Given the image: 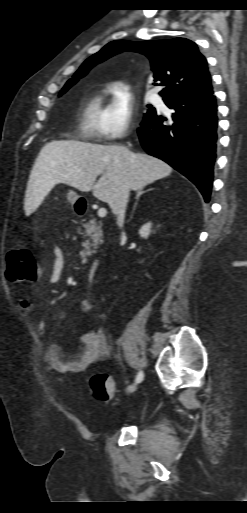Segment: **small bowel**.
I'll return each instance as SVG.
<instances>
[{
    "label": "small bowel",
    "mask_w": 247,
    "mask_h": 513,
    "mask_svg": "<svg viewBox=\"0 0 247 513\" xmlns=\"http://www.w3.org/2000/svg\"><path fill=\"white\" fill-rule=\"evenodd\" d=\"M64 267V253L58 246L53 249V260L48 277V284L55 285L62 281ZM25 311L30 313L32 308L27 301L21 302ZM93 309L89 299H83L79 306L82 314ZM37 330L41 337L49 335V326L45 320H40ZM106 333L102 328L86 329L81 333V345L77 353L67 355L53 343L46 345L42 351V360L53 371L59 373H83L97 362L105 361L110 357L111 348Z\"/></svg>",
    "instance_id": "obj_1"
}]
</instances>
